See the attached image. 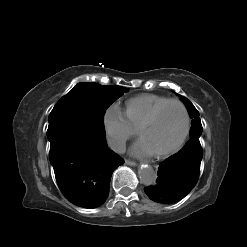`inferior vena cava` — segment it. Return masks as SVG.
I'll return each instance as SVG.
<instances>
[{
	"mask_svg": "<svg viewBox=\"0 0 247 247\" xmlns=\"http://www.w3.org/2000/svg\"><path fill=\"white\" fill-rule=\"evenodd\" d=\"M108 145L113 151L117 153H125L126 151V144L122 140L109 139Z\"/></svg>",
	"mask_w": 247,
	"mask_h": 247,
	"instance_id": "obj_1",
	"label": "inferior vena cava"
}]
</instances>
